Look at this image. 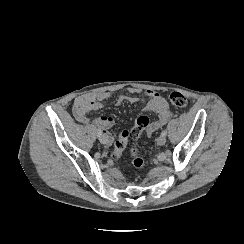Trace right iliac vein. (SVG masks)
I'll list each match as a JSON object with an SVG mask.
<instances>
[{"instance_id": "obj_1", "label": "right iliac vein", "mask_w": 244, "mask_h": 244, "mask_svg": "<svg viewBox=\"0 0 244 244\" xmlns=\"http://www.w3.org/2000/svg\"><path fill=\"white\" fill-rule=\"evenodd\" d=\"M99 140H100V142H101L102 144H107L109 138H108V136H107L106 134H104V135H102V136L99 138Z\"/></svg>"}]
</instances>
